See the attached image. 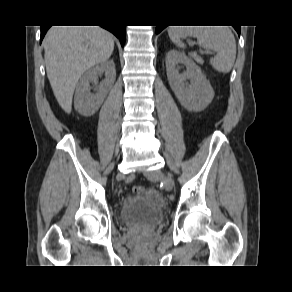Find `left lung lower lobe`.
I'll return each mask as SVG.
<instances>
[{"label": "left lung lower lobe", "mask_w": 292, "mask_h": 292, "mask_svg": "<svg viewBox=\"0 0 292 292\" xmlns=\"http://www.w3.org/2000/svg\"><path fill=\"white\" fill-rule=\"evenodd\" d=\"M165 27L166 26H161V25L156 26V34L161 32ZM234 28L237 31L238 35H240V26H237V27L234 26Z\"/></svg>", "instance_id": "0a47b994"}]
</instances>
